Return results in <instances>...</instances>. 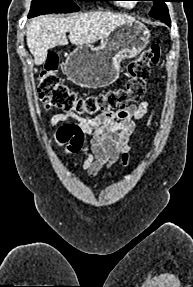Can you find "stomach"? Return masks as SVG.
Here are the masks:
<instances>
[{"mask_svg": "<svg viewBox=\"0 0 193 287\" xmlns=\"http://www.w3.org/2000/svg\"><path fill=\"white\" fill-rule=\"evenodd\" d=\"M149 38L144 24L135 20L125 22L102 38L99 47L78 46L67 57L64 72L70 81L83 88L109 86L119 76L120 63L143 51Z\"/></svg>", "mask_w": 193, "mask_h": 287, "instance_id": "1", "label": "stomach"}]
</instances>
